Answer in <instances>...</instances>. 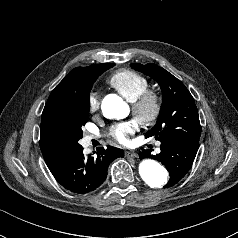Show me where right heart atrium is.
<instances>
[{
	"instance_id": "d8ad5b80",
	"label": "right heart atrium",
	"mask_w": 238,
	"mask_h": 238,
	"mask_svg": "<svg viewBox=\"0 0 238 238\" xmlns=\"http://www.w3.org/2000/svg\"><path fill=\"white\" fill-rule=\"evenodd\" d=\"M100 105V99L97 92L92 91L88 96V109L91 113H94L98 110Z\"/></svg>"
}]
</instances>
